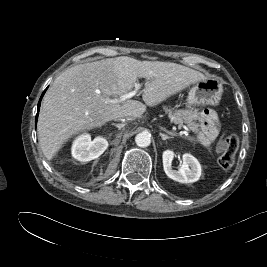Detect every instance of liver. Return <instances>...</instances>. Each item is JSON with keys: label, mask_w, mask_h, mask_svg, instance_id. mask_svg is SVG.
<instances>
[{"label": "liver", "mask_w": 267, "mask_h": 267, "mask_svg": "<svg viewBox=\"0 0 267 267\" xmlns=\"http://www.w3.org/2000/svg\"><path fill=\"white\" fill-rule=\"evenodd\" d=\"M145 78L143 101L155 106L205 76L180 64L139 61L127 56L108 58L69 68L46 92L37 124L40 147L49 160L71 137L126 116L140 118L146 106L119 99ZM99 91V93H97Z\"/></svg>", "instance_id": "liver-1"}]
</instances>
